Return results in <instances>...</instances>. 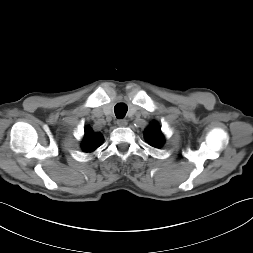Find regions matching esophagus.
Wrapping results in <instances>:
<instances>
[{"label": "esophagus", "mask_w": 253, "mask_h": 253, "mask_svg": "<svg viewBox=\"0 0 253 253\" xmlns=\"http://www.w3.org/2000/svg\"><path fill=\"white\" fill-rule=\"evenodd\" d=\"M116 123H117L118 126L124 127V126L127 125V120H125V119H118V120L116 121Z\"/></svg>", "instance_id": "esophagus-1"}]
</instances>
